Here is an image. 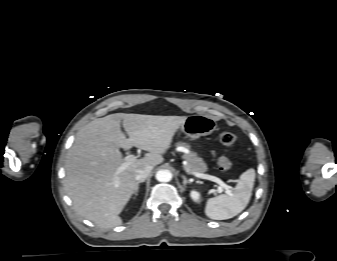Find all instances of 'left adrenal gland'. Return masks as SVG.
Listing matches in <instances>:
<instances>
[{
  "instance_id": "1",
  "label": "left adrenal gland",
  "mask_w": 337,
  "mask_h": 261,
  "mask_svg": "<svg viewBox=\"0 0 337 261\" xmlns=\"http://www.w3.org/2000/svg\"><path fill=\"white\" fill-rule=\"evenodd\" d=\"M183 178V186L184 188H186V184H191V182L186 178L185 175H182Z\"/></svg>"
}]
</instances>
